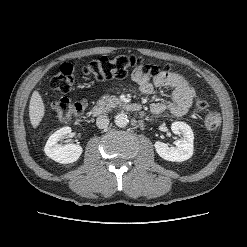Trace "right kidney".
<instances>
[{
    "label": "right kidney",
    "instance_id": "right-kidney-1",
    "mask_svg": "<svg viewBox=\"0 0 247 247\" xmlns=\"http://www.w3.org/2000/svg\"><path fill=\"white\" fill-rule=\"evenodd\" d=\"M71 132V128L66 126L54 132L48 139L44 152L52 160L61 164L73 163L79 159L83 149L76 144H58L59 139Z\"/></svg>",
    "mask_w": 247,
    "mask_h": 247
}]
</instances>
